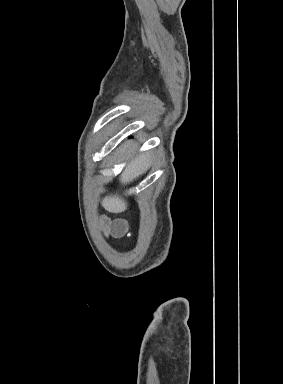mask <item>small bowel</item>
<instances>
[{
	"mask_svg": "<svg viewBox=\"0 0 283 384\" xmlns=\"http://www.w3.org/2000/svg\"><path fill=\"white\" fill-rule=\"evenodd\" d=\"M110 220L107 217H103L100 221V226L103 231H107Z\"/></svg>",
	"mask_w": 283,
	"mask_h": 384,
	"instance_id": "c3829d8e",
	"label": "small bowel"
}]
</instances>
